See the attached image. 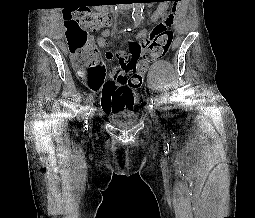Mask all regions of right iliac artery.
I'll use <instances>...</instances> for the list:
<instances>
[{
  "instance_id": "obj_1",
  "label": "right iliac artery",
  "mask_w": 255,
  "mask_h": 218,
  "mask_svg": "<svg viewBox=\"0 0 255 218\" xmlns=\"http://www.w3.org/2000/svg\"><path fill=\"white\" fill-rule=\"evenodd\" d=\"M91 105H92V99L89 98V99L87 100V104H86V106H85V110H86V112H87V116H88V111L91 110ZM87 124H88V117H86L85 124H84V126H83V129H84V130L87 129V127H88Z\"/></svg>"
}]
</instances>
